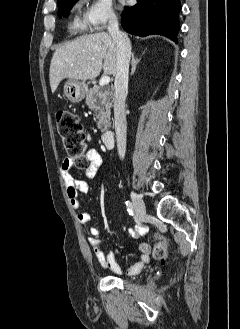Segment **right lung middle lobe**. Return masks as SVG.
I'll return each instance as SVG.
<instances>
[{"label":"right lung middle lobe","mask_w":240,"mask_h":329,"mask_svg":"<svg viewBox=\"0 0 240 329\" xmlns=\"http://www.w3.org/2000/svg\"><path fill=\"white\" fill-rule=\"evenodd\" d=\"M78 0H63L61 2H58L57 5L59 7L58 16L61 18V16L66 17L72 7L73 3H76Z\"/></svg>","instance_id":"right-lung-middle-lobe-1"}]
</instances>
